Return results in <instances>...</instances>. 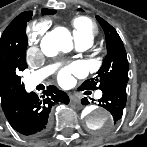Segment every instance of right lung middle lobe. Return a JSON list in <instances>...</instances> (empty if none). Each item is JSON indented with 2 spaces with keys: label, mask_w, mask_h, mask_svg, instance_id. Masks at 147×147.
<instances>
[{
  "label": "right lung middle lobe",
  "mask_w": 147,
  "mask_h": 147,
  "mask_svg": "<svg viewBox=\"0 0 147 147\" xmlns=\"http://www.w3.org/2000/svg\"><path fill=\"white\" fill-rule=\"evenodd\" d=\"M31 17H32V13L30 14L29 18L25 21V23L23 24V26L20 29V32L24 36L25 39H27V36H26V33H25L26 23L31 19ZM25 68L21 69V71H23ZM13 81L16 84L21 85L22 87H24V84L21 82V77L18 76V73L14 76Z\"/></svg>",
  "instance_id": "1"
}]
</instances>
